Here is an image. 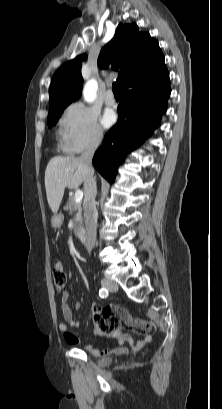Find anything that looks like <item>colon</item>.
<instances>
[{"label": "colon", "instance_id": "colon-1", "mask_svg": "<svg viewBox=\"0 0 222 409\" xmlns=\"http://www.w3.org/2000/svg\"><path fill=\"white\" fill-rule=\"evenodd\" d=\"M54 287L57 291H62L67 282V275L64 263L56 260L51 270ZM113 310L110 307L97 308L93 313L95 332L99 335L109 337H121L119 324L112 318Z\"/></svg>", "mask_w": 222, "mask_h": 409}]
</instances>
